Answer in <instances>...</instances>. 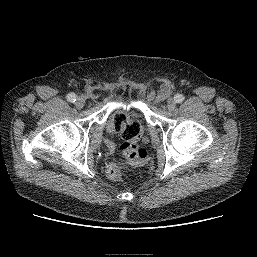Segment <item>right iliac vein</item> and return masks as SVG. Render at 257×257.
I'll return each instance as SVG.
<instances>
[{
    "mask_svg": "<svg viewBox=\"0 0 257 257\" xmlns=\"http://www.w3.org/2000/svg\"><path fill=\"white\" fill-rule=\"evenodd\" d=\"M85 105V99L83 97H78L76 102H75V106L79 109L83 108Z\"/></svg>",
    "mask_w": 257,
    "mask_h": 257,
    "instance_id": "obj_1",
    "label": "right iliac vein"
}]
</instances>
